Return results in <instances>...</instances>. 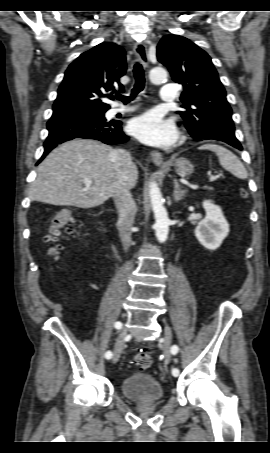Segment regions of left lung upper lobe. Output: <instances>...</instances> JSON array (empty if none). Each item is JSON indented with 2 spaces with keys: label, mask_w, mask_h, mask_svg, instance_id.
Returning a JSON list of instances; mask_svg holds the SVG:
<instances>
[{
  "label": "left lung upper lobe",
  "mask_w": 270,
  "mask_h": 453,
  "mask_svg": "<svg viewBox=\"0 0 270 453\" xmlns=\"http://www.w3.org/2000/svg\"><path fill=\"white\" fill-rule=\"evenodd\" d=\"M157 58L183 85L180 100L186 128L196 137L237 140L232 110L226 92L209 55L185 37L164 36L157 46Z\"/></svg>",
  "instance_id": "left-lung-upper-lobe-1"
}]
</instances>
